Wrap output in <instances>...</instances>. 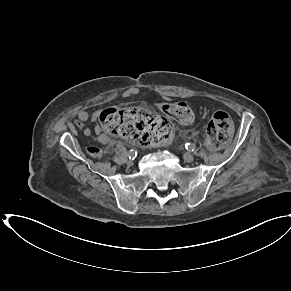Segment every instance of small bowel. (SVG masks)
<instances>
[{
	"instance_id": "obj_1",
	"label": "small bowel",
	"mask_w": 291,
	"mask_h": 291,
	"mask_svg": "<svg viewBox=\"0 0 291 291\" xmlns=\"http://www.w3.org/2000/svg\"><path fill=\"white\" fill-rule=\"evenodd\" d=\"M90 119V115L87 111L81 110L78 112L77 119L75 120L76 127L82 129L83 124ZM83 134L87 137H93L97 142L103 144V145H109L112 143L111 138L102 133L99 129V127L96 126L95 128V136H93L92 131L89 128L83 129ZM95 148L94 146L88 147V149Z\"/></svg>"
}]
</instances>
